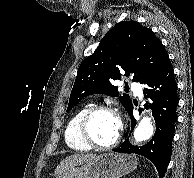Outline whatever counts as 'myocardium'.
Returning a JSON list of instances; mask_svg holds the SVG:
<instances>
[{"label":"myocardium","mask_w":194,"mask_h":178,"mask_svg":"<svg viewBox=\"0 0 194 178\" xmlns=\"http://www.w3.org/2000/svg\"><path fill=\"white\" fill-rule=\"evenodd\" d=\"M99 112H108V113L113 114L114 116H116V118L118 119V121L120 122V125H121L119 114L117 113V111L113 107L108 106V105H95V106L89 107L82 115V117L79 121V124H78V134H79L81 140L90 147L97 148V149H103V150L111 149V148L115 147L120 142L121 126H120V129H119L117 136L115 137V139L113 141H111L108 144L97 143L96 141H94V139L90 135L89 122H90L91 118Z\"/></svg>","instance_id":"obj_1"}]
</instances>
